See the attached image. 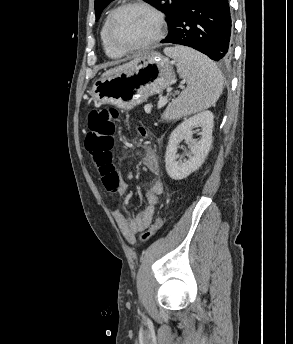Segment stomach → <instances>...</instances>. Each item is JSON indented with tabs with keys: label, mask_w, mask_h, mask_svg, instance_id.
I'll use <instances>...</instances> for the list:
<instances>
[{
	"label": "stomach",
	"mask_w": 293,
	"mask_h": 344,
	"mask_svg": "<svg viewBox=\"0 0 293 344\" xmlns=\"http://www.w3.org/2000/svg\"><path fill=\"white\" fill-rule=\"evenodd\" d=\"M176 82L172 63L157 52L144 54L133 67L97 80L90 94L99 104L131 110Z\"/></svg>",
	"instance_id": "stomach-1"
}]
</instances>
